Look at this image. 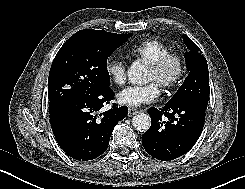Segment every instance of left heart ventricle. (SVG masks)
Returning <instances> with one entry per match:
<instances>
[{
	"instance_id": "1",
	"label": "left heart ventricle",
	"mask_w": 245,
	"mask_h": 189,
	"mask_svg": "<svg viewBox=\"0 0 245 189\" xmlns=\"http://www.w3.org/2000/svg\"><path fill=\"white\" fill-rule=\"evenodd\" d=\"M176 71V67L175 65H170L167 67V69L164 71V73L160 76H156L152 73V71L150 70V68H148L147 74H146V81H153L155 82L159 87L161 86V83L170 78L171 76H173V74Z\"/></svg>"
}]
</instances>
